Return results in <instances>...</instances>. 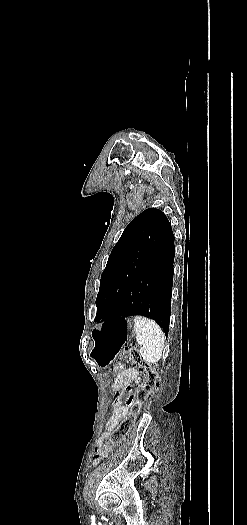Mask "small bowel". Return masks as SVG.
<instances>
[{"label":"small bowel","instance_id":"1","mask_svg":"<svg viewBox=\"0 0 247 525\" xmlns=\"http://www.w3.org/2000/svg\"><path fill=\"white\" fill-rule=\"evenodd\" d=\"M139 375L140 373L136 368L121 370L113 382V390L115 391V393L118 392L121 388H123L126 385H129L131 382L137 379ZM120 398L121 394L116 395L113 410L107 422L108 432L111 431V429L118 423V421L126 414V408L121 404ZM108 432L104 434L103 438L108 436ZM107 455L108 451L104 449V447L102 446V442H100L93 455V464L96 465L100 463V461Z\"/></svg>","mask_w":247,"mask_h":525}]
</instances>
